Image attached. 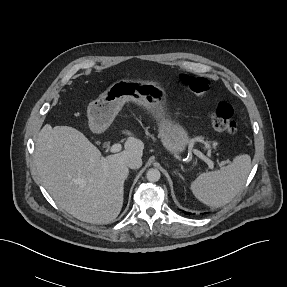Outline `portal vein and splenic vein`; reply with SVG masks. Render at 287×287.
Instances as JSON below:
<instances>
[{
  "instance_id": "portal-vein-and-splenic-vein-1",
  "label": "portal vein and splenic vein",
  "mask_w": 287,
  "mask_h": 287,
  "mask_svg": "<svg viewBox=\"0 0 287 287\" xmlns=\"http://www.w3.org/2000/svg\"><path fill=\"white\" fill-rule=\"evenodd\" d=\"M122 149V145L119 143H115L110 147V152L112 153H116L121 151ZM193 153L195 155H197L199 158H201L204 162H206L209 166L210 169L214 168V162L213 160H211L209 157H207L206 155H204L201 151L197 150V149H192ZM222 165V164H221Z\"/></svg>"
}]
</instances>
